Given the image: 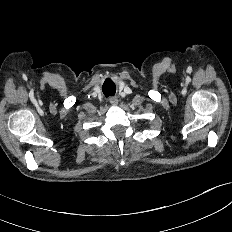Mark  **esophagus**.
Instances as JSON below:
<instances>
[{
	"label": "esophagus",
	"instance_id": "obj_1",
	"mask_svg": "<svg viewBox=\"0 0 232 232\" xmlns=\"http://www.w3.org/2000/svg\"><path fill=\"white\" fill-rule=\"evenodd\" d=\"M109 102L111 105L116 106L118 104V99L116 97H111Z\"/></svg>",
	"mask_w": 232,
	"mask_h": 232
}]
</instances>
